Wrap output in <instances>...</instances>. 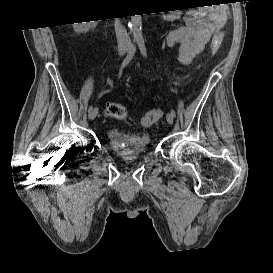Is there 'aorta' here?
<instances>
[{
	"instance_id": "aorta-1",
	"label": "aorta",
	"mask_w": 273,
	"mask_h": 273,
	"mask_svg": "<svg viewBox=\"0 0 273 273\" xmlns=\"http://www.w3.org/2000/svg\"><path fill=\"white\" fill-rule=\"evenodd\" d=\"M131 22L133 26V39L136 42L143 40L142 35V18L141 15L131 16Z\"/></svg>"
}]
</instances>
